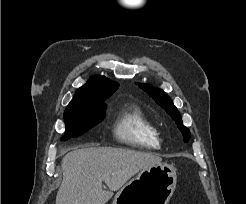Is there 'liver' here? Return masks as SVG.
<instances>
[{
  "label": "liver",
  "instance_id": "6515ba94",
  "mask_svg": "<svg viewBox=\"0 0 246 204\" xmlns=\"http://www.w3.org/2000/svg\"><path fill=\"white\" fill-rule=\"evenodd\" d=\"M153 153L112 147L74 149L62 159L56 204H106L138 172L160 164ZM104 182L109 190H104Z\"/></svg>",
  "mask_w": 246,
  "mask_h": 204
}]
</instances>
